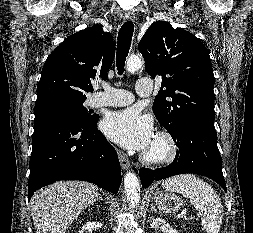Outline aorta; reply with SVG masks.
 <instances>
[{"instance_id":"762f6f07","label":"aorta","mask_w":253,"mask_h":233,"mask_svg":"<svg viewBox=\"0 0 253 233\" xmlns=\"http://www.w3.org/2000/svg\"><path fill=\"white\" fill-rule=\"evenodd\" d=\"M142 60L138 56H131L127 60V70L130 73L137 72L142 67ZM124 189L127 202L134 209L140 203V182L133 172H127L124 177Z\"/></svg>"}]
</instances>
